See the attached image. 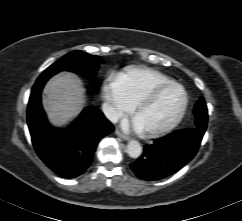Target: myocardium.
I'll return each mask as SVG.
<instances>
[{
    "label": "myocardium",
    "mask_w": 242,
    "mask_h": 221,
    "mask_svg": "<svg viewBox=\"0 0 242 221\" xmlns=\"http://www.w3.org/2000/svg\"><path fill=\"white\" fill-rule=\"evenodd\" d=\"M173 87H177V88L181 89V91L183 93V102H182L181 108L179 109L176 116L163 127L158 128V129L143 131V133L146 136H149V137L161 136L163 134L168 133L169 131H171L174 127H176L179 124V122L184 117L187 107H188V103H189L188 93L182 84H180L176 81H172V82L157 86L135 105V107L133 109L134 115H136L141 110H143V109L147 108L148 106H150L151 104H153L164 91H166L170 88H173Z\"/></svg>",
    "instance_id": "f54148a6"
}]
</instances>
